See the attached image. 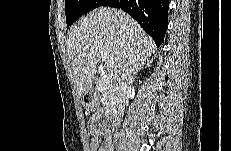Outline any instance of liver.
I'll return each mask as SVG.
<instances>
[{"instance_id": "obj_1", "label": "liver", "mask_w": 231, "mask_h": 151, "mask_svg": "<svg viewBox=\"0 0 231 151\" xmlns=\"http://www.w3.org/2000/svg\"><path fill=\"white\" fill-rule=\"evenodd\" d=\"M154 50L153 40L131 16L116 8H96L68 34L67 53L78 95L83 97L89 90L102 51L114 61V74L129 78L137 74Z\"/></svg>"}]
</instances>
